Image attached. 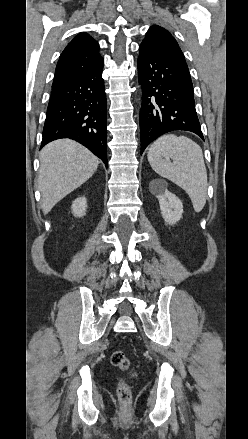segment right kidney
<instances>
[{
	"label": "right kidney",
	"instance_id": "1",
	"mask_svg": "<svg viewBox=\"0 0 248 439\" xmlns=\"http://www.w3.org/2000/svg\"><path fill=\"white\" fill-rule=\"evenodd\" d=\"M72 213L76 217H82L86 214L87 209V199L83 197H78L75 199L71 206Z\"/></svg>",
	"mask_w": 248,
	"mask_h": 439
}]
</instances>
